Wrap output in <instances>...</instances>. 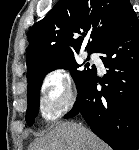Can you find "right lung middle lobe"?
<instances>
[{"mask_svg":"<svg viewBox=\"0 0 139 150\" xmlns=\"http://www.w3.org/2000/svg\"><path fill=\"white\" fill-rule=\"evenodd\" d=\"M78 65L73 57V55L60 58L57 60H54L40 69H38L35 73L32 74V76L28 77V91H27V98H28V108L26 112V122L29 126H31L34 123V119L36 118L39 110V94H40V88L42 85V81L47 73L50 71H53L55 69L64 68L71 70V75L76 83V86L78 87L80 84L85 82L91 74L95 70V66H92V68H88L87 70L79 71L77 70ZM86 67L89 65L86 64Z\"/></svg>","mask_w":139,"mask_h":150,"instance_id":"1","label":"right lung middle lobe"}]
</instances>
